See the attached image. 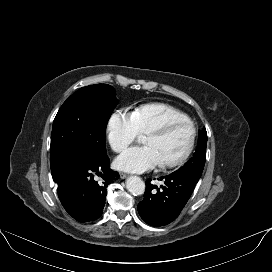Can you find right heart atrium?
I'll use <instances>...</instances> for the list:
<instances>
[{
	"mask_svg": "<svg viewBox=\"0 0 272 272\" xmlns=\"http://www.w3.org/2000/svg\"><path fill=\"white\" fill-rule=\"evenodd\" d=\"M140 136L133 114L125 109L114 110L106 124V138L115 152L125 149Z\"/></svg>",
	"mask_w": 272,
	"mask_h": 272,
	"instance_id": "right-heart-atrium-1",
	"label": "right heart atrium"
}]
</instances>
